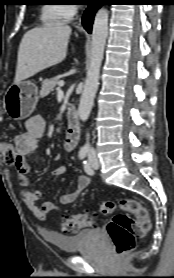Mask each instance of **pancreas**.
Wrapping results in <instances>:
<instances>
[{"label":"pancreas","mask_w":174,"mask_h":278,"mask_svg":"<svg viewBox=\"0 0 174 278\" xmlns=\"http://www.w3.org/2000/svg\"><path fill=\"white\" fill-rule=\"evenodd\" d=\"M59 83V79L54 77L50 79H46L42 82L41 90H40V97H46L55 86Z\"/></svg>","instance_id":"obj_1"}]
</instances>
